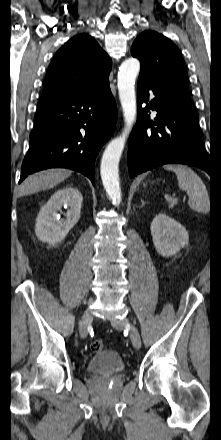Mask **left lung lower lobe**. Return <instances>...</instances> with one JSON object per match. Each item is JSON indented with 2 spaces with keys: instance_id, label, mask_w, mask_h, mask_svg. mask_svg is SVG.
Masks as SVG:
<instances>
[{
  "instance_id": "obj_1",
  "label": "left lung lower lobe",
  "mask_w": 221,
  "mask_h": 440,
  "mask_svg": "<svg viewBox=\"0 0 221 440\" xmlns=\"http://www.w3.org/2000/svg\"><path fill=\"white\" fill-rule=\"evenodd\" d=\"M150 93L155 98L147 103ZM143 103H147L145 108ZM137 105L138 120L129 138L127 156L130 177L169 163L192 165L211 173L198 112L192 102L139 77ZM150 109L157 111L154 121L147 115Z\"/></svg>"
}]
</instances>
